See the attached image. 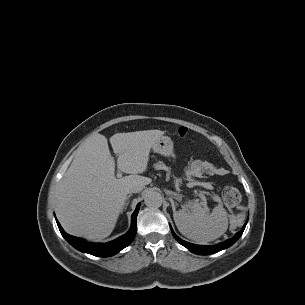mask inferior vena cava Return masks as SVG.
<instances>
[{"mask_svg":"<svg viewBox=\"0 0 305 305\" xmlns=\"http://www.w3.org/2000/svg\"><path fill=\"white\" fill-rule=\"evenodd\" d=\"M142 189H143V186H141V185H135V186H131V187L127 190V192H128V193H139V192L142 191Z\"/></svg>","mask_w":305,"mask_h":305,"instance_id":"602c4592","label":"inferior vena cava"}]
</instances>
